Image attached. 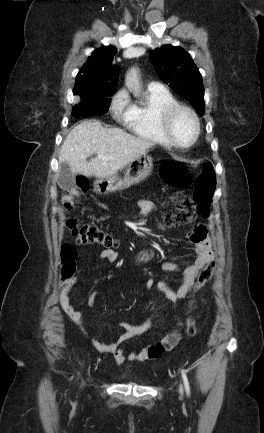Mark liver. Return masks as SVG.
Returning <instances> with one entry per match:
<instances>
[{"label": "liver", "instance_id": "liver-1", "mask_svg": "<svg viewBox=\"0 0 264 433\" xmlns=\"http://www.w3.org/2000/svg\"><path fill=\"white\" fill-rule=\"evenodd\" d=\"M153 146L152 142L120 128H104L99 121L87 120L69 132L61 146L59 162L67 163L73 174L102 179L116 175ZM92 154L95 158L87 162Z\"/></svg>", "mask_w": 264, "mask_h": 433}]
</instances>
